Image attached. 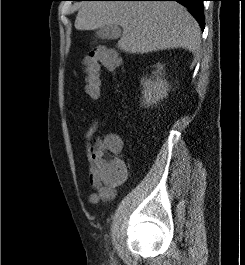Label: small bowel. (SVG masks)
<instances>
[{
  "label": "small bowel",
  "mask_w": 245,
  "mask_h": 265,
  "mask_svg": "<svg viewBox=\"0 0 245 265\" xmlns=\"http://www.w3.org/2000/svg\"><path fill=\"white\" fill-rule=\"evenodd\" d=\"M101 123L98 120H94L88 130L85 133V152L90 161V173L89 182L94 190V193L88 197L89 202H108L113 200L117 195V189L124 181L125 175L117 180H110L106 178L94 165L93 158L96 151L101 148L107 139L112 136L108 135L104 139H94V135Z\"/></svg>",
  "instance_id": "obj_1"
}]
</instances>
